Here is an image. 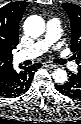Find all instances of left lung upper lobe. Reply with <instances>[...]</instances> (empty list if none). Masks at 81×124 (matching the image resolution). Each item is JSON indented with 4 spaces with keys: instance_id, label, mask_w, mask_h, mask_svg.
<instances>
[{
    "instance_id": "left-lung-upper-lobe-1",
    "label": "left lung upper lobe",
    "mask_w": 81,
    "mask_h": 124,
    "mask_svg": "<svg viewBox=\"0 0 81 124\" xmlns=\"http://www.w3.org/2000/svg\"><path fill=\"white\" fill-rule=\"evenodd\" d=\"M67 12L71 23V50L74 52V59L81 64V7L71 3L61 4ZM81 68V65H80Z\"/></svg>"
}]
</instances>
